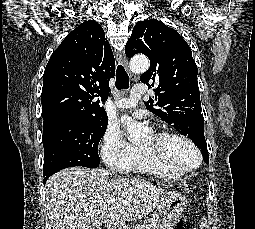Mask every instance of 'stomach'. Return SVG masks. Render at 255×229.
<instances>
[{"instance_id": "1", "label": "stomach", "mask_w": 255, "mask_h": 229, "mask_svg": "<svg viewBox=\"0 0 255 229\" xmlns=\"http://www.w3.org/2000/svg\"><path fill=\"white\" fill-rule=\"evenodd\" d=\"M188 206L185 195L174 193L162 206L155 209L149 222L152 229H170V225L178 219Z\"/></svg>"}]
</instances>
